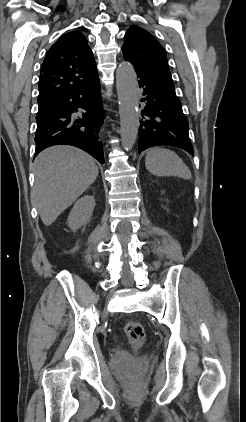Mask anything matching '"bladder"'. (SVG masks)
<instances>
[{
	"label": "bladder",
	"mask_w": 246,
	"mask_h": 422,
	"mask_svg": "<svg viewBox=\"0 0 246 422\" xmlns=\"http://www.w3.org/2000/svg\"><path fill=\"white\" fill-rule=\"evenodd\" d=\"M113 363L121 369L130 367L131 365H143L146 359L143 357L135 358L131 354L125 351H118L113 356Z\"/></svg>",
	"instance_id": "obj_1"
}]
</instances>
